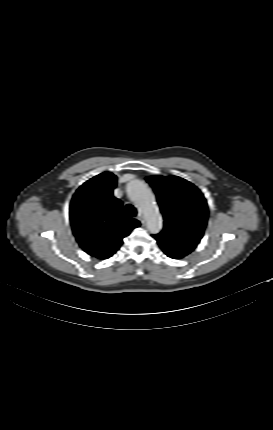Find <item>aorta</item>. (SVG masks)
<instances>
[{
	"label": "aorta",
	"instance_id": "1",
	"mask_svg": "<svg viewBox=\"0 0 273 430\" xmlns=\"http://www.w3.org/2000/svg\"><path fill=\"white\" fill-rule=\"evenodd\" d=\"M128 195L144 215L148 230L154 234L158 233L162 229L163 219L150 187L141 180H134L128 186Z\"/></svg>",
	"mask_w": 273,
	"mask_h": 430
}]
</instances>
